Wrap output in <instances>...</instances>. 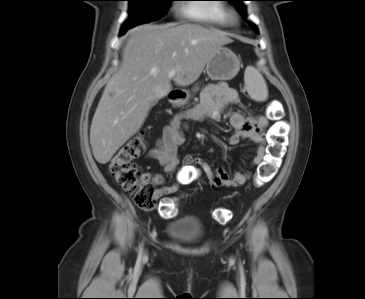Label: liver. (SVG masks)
Instances as JSON below:
<instances>
[{
  "label": "liver",
  "instance_id": "obj_1",
  "mask_svg": "<svg viewBox=\"0 0 365 299\" xmlns=\"http://www.w3.org/2000/svg\"><path fill=\"white\" fill-rule=\"evenodd\" d=\"M233 40L223 31L197 24L140 25L129 31L122 64L108 81L90 127V144L100 164L142 127L153 101L186 87L201 75L214 53Z\"/></svg>",
  "mask_w": 365,
  "mask_h": 299
}]
</instances>
